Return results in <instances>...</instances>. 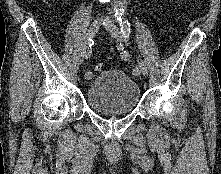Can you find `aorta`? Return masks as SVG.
Segmentation results:
<instances>
[{
  "label": "aorta",
  "instance_id": "1",
  "mask_svg": "<svg viewBox=\"0 0 221 174\" xmlns=\"http://www.w3.org/2000/svg\"><path fill=\"white\" fill-rule=\"evenodd\" d=\"M127 0H113V7L116 11L117 17H122L124 13V5Z\"/></svg>",
  "mask_w": 221,
  "mask_h": 174
}]
</instances>
